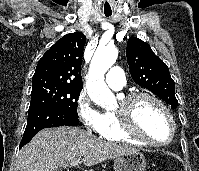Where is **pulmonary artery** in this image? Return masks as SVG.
<instances>
[{
  "label": "pulmonary artery",
  "mask_w": 199,
  "mask_h": 171,
  "mask_svg": "<svg viewBox=\"0 0 199 171\" xmlns=\"http://www.w3.org/2000/svg\"><path fill=\"white\" fill-rule=\"evenodd\" d=\"M106 83L113 90H121L125 85V75L122 68L118 66L111 67L106 75Z\"/></svg>",
  "instance_id": "1"
}]
</instances>
